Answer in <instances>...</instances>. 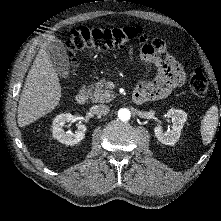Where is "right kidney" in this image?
Wrapping results in <instances>:
<instances>
[{
    "instance_id": "right-kidney-1",
    "label": "right kidney",
    "mask_w": 221,
    "mask_h": 221,
    "mask_svg": "<svg viewBox=\"0 0 221 221\" xmlns=\"http://www.w3.org/2000/svg\"><path fill=\"white\" fill-rule=\"evenodd\" d=\"M76 121V118L70 113L60 114L56 116L52 124L53 137L59 142L66 145H74L80 142L85 135L86 126L83 124H78V129L75 133L70 131L65 132L63 127L66 123H73Z\"/></svg>"
}]
</instances>
